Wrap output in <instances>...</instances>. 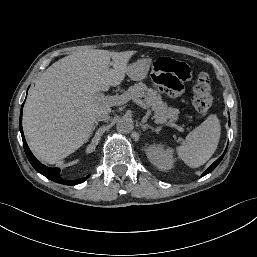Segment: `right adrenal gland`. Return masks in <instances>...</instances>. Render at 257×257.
Returning <instances> with one entry per match:
<instances>
[{
    "instance_id": "obj_1",
    "label": "right adrenal gland",
    "mask_w": 257,
    "mask_h": 257,
    "mask_svg": "<svg viewBox=\"0 0 257 257\" xmlns=\"http://www.w3.org/2000/svg\"><path fill=\"white\" fill-rule=\"evenodd\" d=\"M97 125H98V121L95 122V124H94V126H93L92 132L95 130V128L97 127Z\"/></svg>"
}]
</instances>
